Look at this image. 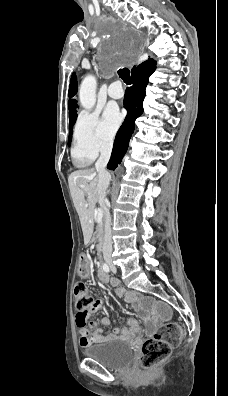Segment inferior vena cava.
Listing matches in <instances>:
<instances>
[{"label": "inferior vena cava", "instance_id": "inferior-vena-cava-1", "mask_svg": "<svg viewBox=\"0 0 228 396\" xmlns=\"http://www.w3.org/2000/svg\"><path fill=\"white\" fill-rule=\"evenodd\" d=\"M113 147L112 141H106L102 145L101 154L97 162L95 163L96 171L98 172V184L97 189L103 205L105 204L106 190L110 183V174L106 170V166L111 156ZM104 240H103V255H111L112 253V231H111V215L109 210L104 208Z\"/></svg>", "mask_w": 228, "mask_h": 396}]
</instances>
